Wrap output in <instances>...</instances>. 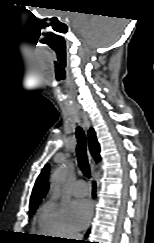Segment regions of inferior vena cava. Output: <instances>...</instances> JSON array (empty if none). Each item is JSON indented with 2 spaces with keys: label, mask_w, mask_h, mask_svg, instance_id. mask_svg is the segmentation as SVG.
Listing matches in <instances>:
<instances>
[{
  "label": "inferior vena cava",
  "mask_w": 154,
  "mask_h": 243,
  "mask_svg": "<svg viewBox=\"0 0 154 243\" xmlns=\"http://www.w3.org/2000/svg\"><path fill=\"white\" fill-rule=\"evenodd\" d=\"M73 236H74V239H77V240H79L81 238V235L80 234H75Z\"/></svg>",
  "instance_id": "inferior-vena-cava-1"
}]
</instances>
